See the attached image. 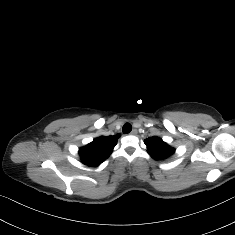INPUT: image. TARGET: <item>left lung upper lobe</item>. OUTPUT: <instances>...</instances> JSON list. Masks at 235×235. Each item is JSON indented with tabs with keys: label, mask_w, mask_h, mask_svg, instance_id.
I'll return each mask as SVG.
<instances>
[{
	"label": "left lung upper lobe",
	"mask_w": 235,
	"mask_h": 235,
	"mask_svg": "<svg viewBox=\"0 0 235 235\" xmlns=\"http://www.w3.org/2000/svg\"><path fill=\"white\" fill-rule=\"evenodd\" d=\"M148 152L156 160H164L170 157L175 149L165 143L159 137H149L145 141Z\"/></svg>",
	"instance_id": "left-lung-upper-lobe-1"
}]
</instances>
